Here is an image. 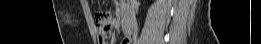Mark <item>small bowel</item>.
Masks as SVG:
<instances>
[{"label": "small bowel", "instance_id": "1", "mask_svg": "<svg viewBox=\"0 0 261 44\" xmlns=\"http://www.w3.org/2000/svg\"><path fill=\"white\" fill-rule=\"evenodd\" d=\"M120 10L122 11V14L123 15H129V16H132L131 15V9L129 7V5L126 3V2H121L120 3ZM97 29L99 30V28L97 27ZM100 33H101V30H100ZM107 35V33L105 31H103L101 33V36L102 37H105ZM131 35L130 36H127L124 40H123V44H128L130 43L131 41Z\"/></svg>", "mask_w": 261, "mask_h": 44}]
</instances>
